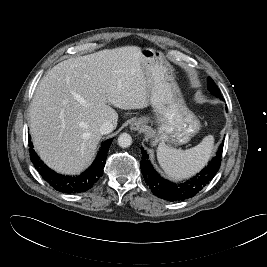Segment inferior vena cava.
<instances>
[{
    "label": "inferior vena cava",
    "mask_w": 267,
    "mask_h": 267,
    "mask_svg": "<svg viewBox=\"0 0 267 267\" xmlns=\"http://www.w3.org/2000/svg\"><path fill=\"white\" fill-rule=\"evenodd\" d=\"M115 126L110 122L106 121L104 122L100 127V133L103 134H109L114 130Z\"/></svg>",
    "instance_id": "inferior-vena-cava-1"
}]
</instances>
